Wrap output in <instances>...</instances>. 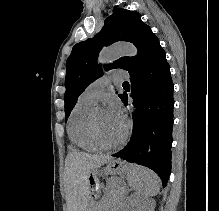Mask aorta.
Returning <instances> with one entry per match:
<instances>
[{
    "label": "aorta",
    "instance_id": "762f6f07",
    "mask_svg": "<svg viewBox=\"0 0 219 211\" xmlns=\"http://www.w3.org/2000/svg\"><path fill=\"white\" fill-rule=\"evenodd\" d=\"M137 49L130 43H119L104 49L99 55L100 63H108L120 56H135Z\"/></svg>",
    "mask_w": 219,
    "mask_h": 211
}]
</instances>
